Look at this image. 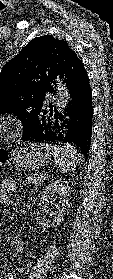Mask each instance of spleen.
<instances>
[{"instance_id":"spleen-1","label":"spleen","mask_w":113,"mask_h":279,"mask_svg":"<svg viewBox=\"0 0 113 279\" xmlns=\"http://www.w3.org/2000/svg\"><path fill=\"white\" fill-rule=\"evenodd\" d=\"M41 146L49 151L61 172L74 170L80 161V154L75 147L70 145H51L42 143Z\"/></svg>"}]
</instances>
